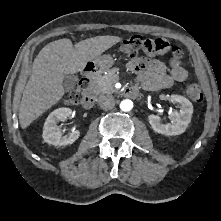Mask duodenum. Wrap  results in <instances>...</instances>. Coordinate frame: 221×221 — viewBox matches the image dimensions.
<instances>
[{
	"label": "duodenum",
	"mask_w": 221,
	"mask_h": 221,
	"mask_svg": "<svg viewBox=\"0 0 221 221\" xmlns=\"http://www.w3.org/2000/svg\"><path fill=\"white\" fill-rule=\"evenodd\" d=\"M97 73V68L94 64L89 63L86 65L85 69H84V81H86L88 84H90L93 80V78L95 77ZM138 94V89L136 87H129L125 90V95L127 97H135ZM95 102V99L93 97V95L91 93H87V95L85 96V100H84V106L86 108H90L93 106Z\"/></svg>",
	"instance_id": "1"
}]
</instances>
